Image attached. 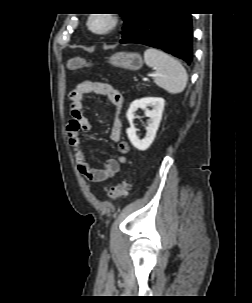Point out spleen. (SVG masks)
<instances>
[{"mask_svg":"<svg viewBox=\"0 0 252 303\" xmlns=\"http://www.w3.org/2000/svg\"><path fill=\"white\" fill-rule=\"evenodd\" d=\"M148 67L156 70L155 83L169 93H181L187 84V73L179 61L155 48L144 52Z\"/></svg>","mask_w":252,"mask_h":303,"instance_id":"spleen-1","label":"spleen"}]
</instances>
